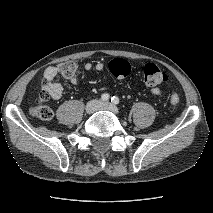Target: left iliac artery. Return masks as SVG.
Segmentation results:
<instances>
[{
    "instance_id": "44dca946",
    "label": "left iliac artery",
    "mask_w": 213,
    "mask_h": 213,
    "mask_svg": "<svg viewBox=\"0 0 213 213\" xmlns=\"http://www.w3.org/2000/svg\"><path fill=\"white\" fill-rule=\"evenodd\" d=\"M111 102H112L113 104H119V98L116 97V96H114V97L111 98Z\"/></svg>"
}]
</instances>
